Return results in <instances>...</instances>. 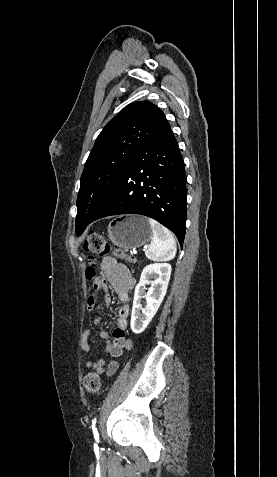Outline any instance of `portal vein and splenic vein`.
<instances>
[{
	"instance_id": "portal-vein-and-splenic-vein-1",
	"label": "portal vein and splenic vein",
	"mask_w": 277,
	"mask_h": 477,
	"mask_svg": "<svg viewBox=\"0 0 277 477\" xmlns=\"http://www.w3.org/2000/svg\"><path fill=\"white\" fill-rule=\"evenodd\" d=\"M136 253H137V251H136V250H133V254H136Z\"/></svg>"
}]
</instances>
